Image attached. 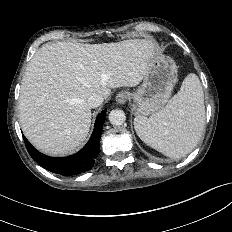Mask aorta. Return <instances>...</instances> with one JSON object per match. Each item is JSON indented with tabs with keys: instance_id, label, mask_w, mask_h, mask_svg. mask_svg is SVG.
<instances>
[{
	"instance_id": "1",
	"label": "aorta",
	"mask_w": 232,
	"mask_h": 232,
	"mask_svg": "<svg viewBox=\"0 0 232 232\" xmlns=\"http://www.w3.org/2000/svg\"><path fill=\"white\" fill-rule=\"evenodd\" d=\"M126 120L125 113L120 109H113L109 113V121L112 125L119 126L122 125Z\"/></svg>"
}]
</instances>
